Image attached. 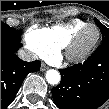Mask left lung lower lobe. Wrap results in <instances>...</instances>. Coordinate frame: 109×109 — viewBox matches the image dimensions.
Segmentation results:
<instances>
[{
  "label": "left lung lower lobe",
  "instance_id": "obj_1",
  "mask_svg": "<svg viewBox=\"0 0 109 109\" xmlns=\"http://www.w3.org/2000/svg\"><path fill=\"white\" fill-rule=\"evenodd\" d=\"M52 88L59 109H96L109 98V42L101 44L84 64L60 70Z\"/></svg>",
  "mask_w": 109,
  "mask_h": 109
}]
</instances>
